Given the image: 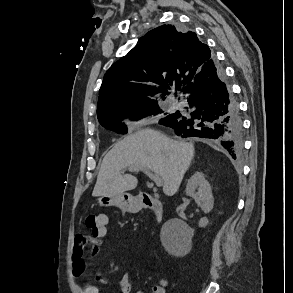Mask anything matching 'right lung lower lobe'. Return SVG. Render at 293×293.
<instances>
[{"label":"right lung lower lobe","instance_id":"obj_1","mask_svg":"<svg viewBox=\"0 0 293 293\" xmlns=\"http://www.w3.org/2000/svg\"><path fill=\"white\" fill-rule=\"evenodd\" d=\"M189 107L159 121L181 137L211 138L236 159L243 148V126L224 73L210 59L181 91Z\"/></svg>","mask_w":293,"mask_h":293}]
</instances>
